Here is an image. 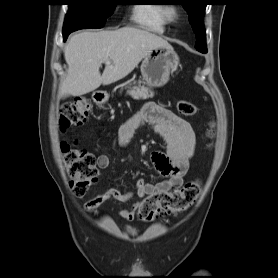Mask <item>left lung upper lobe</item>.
Instances as JSON below:
<instances>
[{"label":"left lung upper lobe","mask_w":278,"mask_h":278,"mask_svg":"<svg viewBox=\"0 0 278 278\" xmlns=\"http://www.w3.org/2000/svg\"><path fill=\"white\" fill-rule=\"evenodd\" d=\"M182 5L189 14V21L196 33L195 48L202 53L207 52L206 34L204 29V15L206 8V0H181Z\"/></svg>","instance_id":"1"}]
</instances>
